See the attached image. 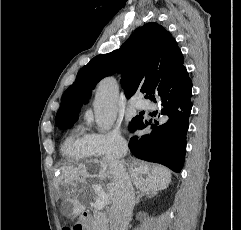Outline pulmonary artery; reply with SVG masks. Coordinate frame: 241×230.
<instances>
[{
    "label": "pulmonary artery",
    "mask_w": 241,
    "mask_h": 230,
    "mask_svg": "<svg viewBox=\"0 0 241 230\" xmlns=\"http://www.w3.org/2000/svg\"><path fill=\"white\" fill-rule=\"evenodd\" d=\"M137 108H145L147 107V103L145 101H139L135 104Z\"/></svg>",
    "instance_id": "e3ab8cb5"
}]
</instances>
